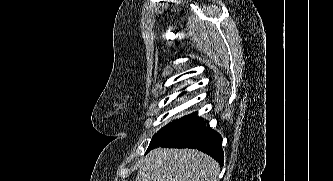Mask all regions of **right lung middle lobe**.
<instances>
[{
    "instance_id": "obj_1",
    "label": "right lung middle lobe",
    "mask_w": 333,
    "mask_h": 181,
    "mask_svg": "<svg viewBox=\"0 0 333 181\" xmlns=\"http://www.w3.org/2000/svg\"><path fill=\"white\" fill-rule=\"evenodd\" d=\"M202 121L203 120L197 116V112H195L166 125L154 135L148 149L158 145L173 143L194 129Z\"/></svg>"
}]
</instances>
